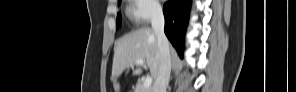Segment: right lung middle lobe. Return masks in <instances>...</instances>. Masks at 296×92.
<instances>
[{
    "mask_svg": "<svg viewBox=\"0 0 296 92\" xmlns=\"http://www.w3.org/2000/svg\"><path fill=\"white\" fill-rule=\"evenodd\" d=\"M121 1L118 2V5L120 4ZM121 27V14L117 15V21H116V29Z\"/></svg>",
    "mask_w": 296,
    "mask_h": 92,
    "instance_id": "right-lung-middle-lobe-1",
    "label": "right lung middle lobe"
}]
</instances>
